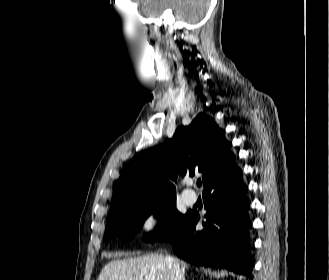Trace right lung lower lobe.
<instances>
[{"mask_svg":"<svg viewBox=\"0 0 329 280\" xmlns=\"http://www.w3.org/2000/svg\"><path fill=\"white\" fill-rule=\"evenodd\" d=\"M246 192L237 165L210 182L203 191L207 210L202 222L204 229L195 230L200 217L197 212H190L187 222L170 239L177 256L197 265L227 268L251 279V223Z\"/></svg>","mask_w":329,"mask_h":280,"instance_id":"1","label":"right lung lower lobe"}]
</instances>
